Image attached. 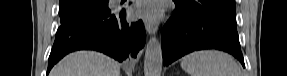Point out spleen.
I'll use <instances>...</instances> for the list:
<instances>
[{
    "label": "spleen",
    "instance_id": "spleen-1",
    "mask_svg": "<svg viewBox=\"0 0 287 76\" xmlns=\"http://www.w3.org/2000/svg\"><path fill=\"white\" fill-rule=\"evenodd\" d=\"M181 67L190 76H242L230 55L215 50L190 53L182 58Z\"/></svg>",
    "mask_w": 287,
    "mask_h": 76
}]
</instances>
